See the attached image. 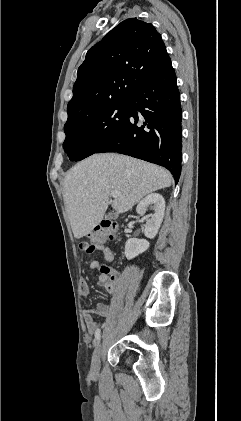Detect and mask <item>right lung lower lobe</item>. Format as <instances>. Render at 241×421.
Listing matches in <instances>:
<instances>
[{"mask_svg": "<svg viewBox=\"0 0 241 421\" xmlns=\"http://www.w3.org/2000/svg\"><path fill=\"white\" fill-rule=\"evenodd\" d=\"M128 102L125 125L96 153L118 152L161 165L172 173L177 183L181 173L182 113L176 75L169 57ZM141 122L143 125L139 126Z\"/></svg>", "mask_w": 241, "mask_h": 421, "instance_id": "right-lung-lower-lobe-1", "label": "right lung lower lobe"}]
</instances>
